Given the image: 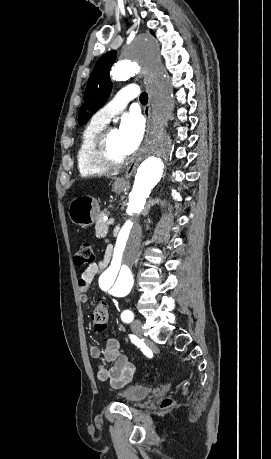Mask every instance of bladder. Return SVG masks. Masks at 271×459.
Returning a JSON list of instances; mask_svg holds the SVG:
<instances>
[{"label": "bladder", "mask_w": 271, "mask_h": 459, "mask_svg": "<svg viewBox=\"0 0 271 459\" xmlns=\"http://www.w3.org/2000/svg\"><path fill=\"white\" fill-rule=\"evenodd\" d=\"M151 393V388L148 386L134 385L130 389H127L123 392L122 397L124 398L125 403H133L140 401L146 396H149Z\"/></svg>", "instance_id": "bladder-1"}]
</instances>
